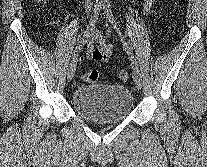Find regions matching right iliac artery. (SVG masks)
I'll return each instance as SVG.
<instances>
[{
    "label": "right iliac artery",
    "instance_id": "right-iliac-artery-1",
    "mask_svg": "<svg viewBox=\"0 0 207 167\" xmlns=\"http://www.w3.org/2000/svg\"><path fill=\"white\" fill-rule=\"evenodd\" d=\"M102 4H103V2L101 0L96 1V4L94 5V9H93V14H92L91 19L89 21V24L86 28V31L84 32L82 39L80 40L79 44L76 46V48L72 54L73 60L76 58V56L78 55V53L80 52V50L82 49L84 44L88 41V38L90 37L91 32L95 28V25L98 21L100 11L102 9Z\"/></svg>",
    "mask_w": 207,
    "mask_h": 167
}]
</instances>
